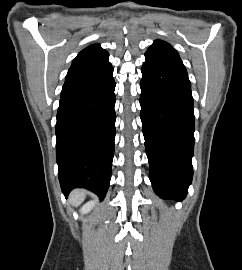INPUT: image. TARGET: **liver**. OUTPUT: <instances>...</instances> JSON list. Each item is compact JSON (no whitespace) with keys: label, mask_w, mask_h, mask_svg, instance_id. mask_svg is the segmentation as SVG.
<instances>
[{"label":"liver","mask_w":242,"mask_h":270,"mask_svg":"<svg viewBox=\"0 0 242 270\" xmlns=\"http://www.w3.org/2000/svg\"><path fill=\"white\" fill-rule=\"evenodd\" d=\"M86 196V192L84 190H75L70 195V203L73 206L79 205Z\"/></svg>","instance_id":"1"}]
</instances>
